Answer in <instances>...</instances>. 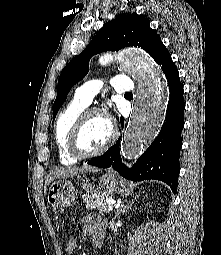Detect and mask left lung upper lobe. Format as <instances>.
I'll list each match as a JSON object with an SVG mask.
<instances>
[{"label": "left lung upper lobe", "mask_w": 221, "mask_h": 255, "mask_svg": "<svg viewBox=\"0 0 221 255\" xmlns=\"http://www.w3.org/2000/svg\"><path fill=\"white\" fill-rule=\"evenodd\" d=\"M127 46L144 49L155 60L164 47L160 36L150 28L149 19L142 14H120L106 23L89 45L62 70L58 80L57 97L53 105V118L67 98L70 89L89 71L93 55L104 51H117Z\"/></svg>", "instance_id": "left-lung-upper-lobe-1"}]
</instances>
